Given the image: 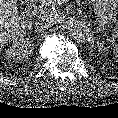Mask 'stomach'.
<instances>
[{
    "label": "stomach",
    "mask_w": 118,
    "mask_h": 118,
    "mask_svg": "<svg viewBox=\"0 0 118 118\" xmlns=\"http://www.w3.org/2000/svg\"><path fill=\"white\" fill-rule=\"evenodd\" d=\"M96 23L103 29L114 23L118 9V0H94Z\"/></svg>",
    "instance_id": "1"
}]
</instances>
